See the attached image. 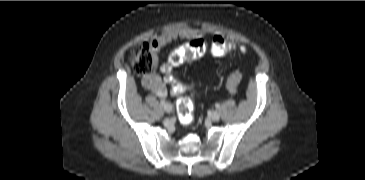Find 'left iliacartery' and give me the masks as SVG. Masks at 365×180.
<instances>
[{"mask_svg":"<svg viewBox=\"0 0 365 180\" xmlns=\"http://www.w3.org/2000/svg\"><path fill=\"white\" fill-rule=\"evenodd\" d=\"M215 106H216V108H220V104H218V103Z\"/></svg>","mask_w":365,"mask_h":180,"instance_id":"1","label":"left iliac artery"}]
</instances>
